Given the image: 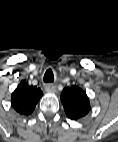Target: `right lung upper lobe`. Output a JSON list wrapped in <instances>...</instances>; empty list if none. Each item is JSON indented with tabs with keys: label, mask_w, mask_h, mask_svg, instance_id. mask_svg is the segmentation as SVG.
<instances>
[{
	"label": "right lung upper lobe",
	"mask_w": 118,
	"mask_h": 142,
	"mask_svg": "<svg viewBox=\"0 0 118 142\" xmlns=\"http://www.w3.org/2000/svg\"><path fill=\"white\" fill-rule=\"evenodd\" d=\"M43 93L36 86H29L24 80L17 86L11 96L12 107L20 114L28 115L33 112Z\"/></svg>",
	"instance_id": "1"
}]
</instances>
